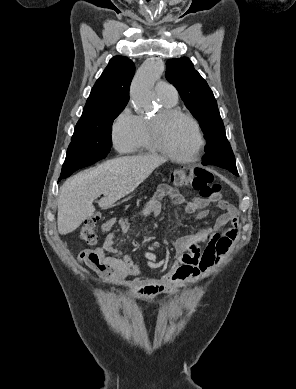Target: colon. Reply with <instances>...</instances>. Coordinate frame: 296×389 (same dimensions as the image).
Segmentation results:
<instances>
[{
	"label": "colon",
	"mask_w": 296,
	"mask_h": 389,
	"mask_svg": "<svg viewBox=\"0 0 296 389\" xmlns=\"http://www.w3.org/2000/svg\"><path fill=\"white\" fill-rule=\"evenodd\" d=\"M172 182L178 187H192L200 198L215 200L219 198L220 185L214 182L213 174L202 168L183 167L172 175ZM100 215L85 220L79 227L80 238L88 244L97 242V224Z\"/></svg>",
	"instance_id": "1"
}]
</instances>
